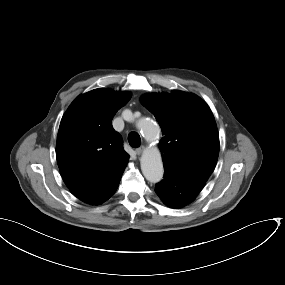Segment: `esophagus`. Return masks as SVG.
Masks as SVG:
<instances>
[{
  "instance_id": "esophagus-1",
  "label": "esophagus",
  "mask_w": 285,
  "mask_h": 285,
  "mask_svg": "<svg viewBox=\"0 0 285 285\" xmlns=\"http://www.w3.org/2000/svg\"><path fill=\"white\" fill-rule=\"evenodd\" d=\"M143 150H144V147L140 146V147L135 149V152H136L137 155H140L143 152Z\"/></svg>"
}]
</instances>
